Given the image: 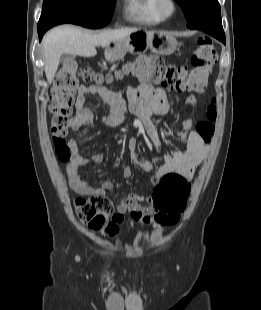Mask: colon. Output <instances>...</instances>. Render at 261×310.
Wrapping results in <instances>:
<instances>
[{"label": "colon", "instance_id": "obj_1", "mask_svg": "<svg viewBox=\"0 0 261 310\" xmlns=\"http://www.w3.org/2000/svg\"><path fill=\"white\" fill-rule=\"evenodd\" d=\"M216 50L208 37H200L191 56V68L165 64L154 55L139 58L126 65L124 73L132 74L146 83H159L163 88L184 92L203 93L208 77L215 67ZM102 83L106 76L91 67L80 68L77 62L67 60L62 63L54 81V93L51 98V133L55 151L61 161L70 158V150L65 143L67 129L72 113L75 88L79 79ZM217 117L216 105L212 102L207 109V119L196 124V131L205 140L214 134V121ZM190 194L189 181L177 172L164 175L157 184L152 203L159 209L156 223L164 226L176 225L185 210ZM76 213L82 223L93 230L104 231L112 236L117 233L119 217L113 212L112 202L105 196L95 194L87 198H78Z\"/></svg>", "mask_w": 261, "mask_h": 310}]
</instances>
